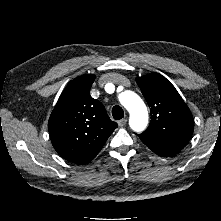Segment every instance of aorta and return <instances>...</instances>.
I'll return each mask as SVG.
<instances>
[{"label":"aorta","instance_id":"1","mask_svg":"<svg viewBox=\"0 0 221 221\" xmlns=\"http://www.w3.org/2000/svg\"><path fill=\"white\" fill-rule=\"evenodd\" d=\"M120 103L128 110L129 125L135 132H142L148 124V111L143 100L132 91H124L119 95Z\"/></svg>","mask_w":221,"mask_h":221}]
</instances>
